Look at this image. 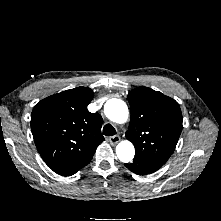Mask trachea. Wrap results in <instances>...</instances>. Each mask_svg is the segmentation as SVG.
<instances>
[{"mask_svg": "<svg viewBox=\"0 0 221 221\" xmlns=\"http://www.w3.org/2000/svg\"><path fill=\"white\" fill-rule=\"evenodd\" d=\"M103 134L105 136H113V135L116 134V130H115V128L111 124H106L103 127Z\"/></svg>", "mask_w": 221, "mask_h": 221, "instance_id": "obj_1", "label": "trachea"}]
</instances>
